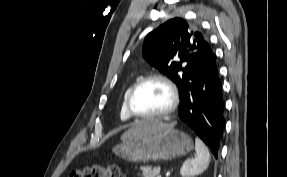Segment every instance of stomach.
<instances>
[{"instance_id":"stomach-1","label":"stomach","mask_w":287,"mask_h":177,"mask_svg":"<svg viewBox=\"0 0 287 177\" xmlns=\"http://www.w3.org/2000/svg\"><path fill=\"white\" fill-rule=\"evenodd\" d=\"M193 148L191 137L173 127L122 139L113 148L115 155L130 162L172 160L185 156Z\"/></svg>"}]
</instances>
